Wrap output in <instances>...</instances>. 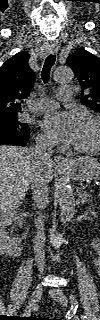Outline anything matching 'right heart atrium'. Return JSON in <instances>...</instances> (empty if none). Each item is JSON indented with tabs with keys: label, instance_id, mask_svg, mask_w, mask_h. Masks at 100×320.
<instances>
[{
	"label": "right heart atrium",
	"instance_id": "d8ad5b80",
	"mask_svg": "<svg viewBox=\"0 0 100 320\" xmlns=\"http://www.w3.org/2000/svg\"><path fill=\"white\" fill-rule=\"evenodd\" d=\"M37 142L41 145H50L51 144L50 138L44 134H39L37 136Z\"/></svg>",
	"mask_w": 100,
	"mask_h": 320
}]
</instances>
